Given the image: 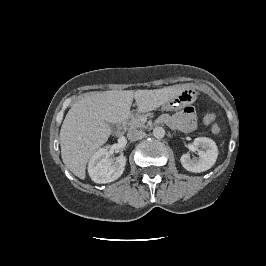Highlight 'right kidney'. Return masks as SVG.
<instances>
[{"instance_id":"right-kidney-1","label":"right kidney","mask_w":266,"mask_h":266,"mask_svg":"<svg viewBox=\"0 0 266 266\" xmlns=\"http://www.w3.org/2000/svg\"><path fill=\"white\" fill-rule=\"evenodd\" d=\"M125 164L126 157L124 156L117 158L114 164H112L108 149L100 148L89 161L88 173L95 183H110L123 174Z\"/></svg>"}]
</instances>
